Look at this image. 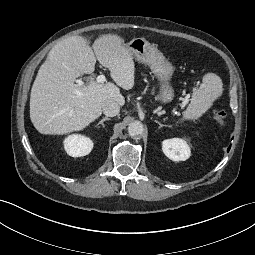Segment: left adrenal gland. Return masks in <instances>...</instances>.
I'll list each match as a JSON object with an SVG mask.
<instances>
[{
	"mask_svg": "<svg viewBox=\"0 0 255 255\" xmlns=\"http://www.w3.org/2000/svg\"><path fill=\"white\" fill-rule=\"evenodd\" d=\"M155 122L159 125V128L161 127H171L170 125H163L159 121L155 120Z\"/></svg>",
	"mask_w": 255,
	"mask_h": 255,
	"instance_id": "left-adrenal-gland-1",
	"label": "left adrenal gland"
}]
</instances>
